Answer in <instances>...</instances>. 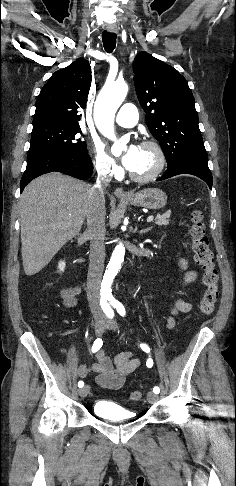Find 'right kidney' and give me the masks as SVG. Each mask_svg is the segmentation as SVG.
<instances>
[{
	"mask_svg": "<svg viewBox=\"0 0 236 486\" xmlns=\"http://www.w3.org/2000/svg\"><path fill=\"white\" fill-rule=\"evenodd\" d=\"M65 266H66L65 262L64 261H60L59 264H58L59 271L64 272Z\"/></svg>",
	"mask_w": 236,
	"mask_h": 486,
	"instance_id": "right-kidney-1",
	"label": "right kidney"
}]
</instances>
